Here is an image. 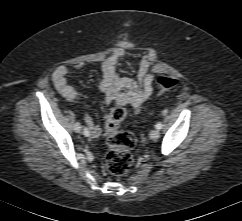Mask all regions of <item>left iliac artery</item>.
I'll use <instances>...</instances> for the list:
<instances>
[{
	"label": "left iliac artery",
	"instance_id": "1",
	"mask_svg": "<svg viewBox=\"0 0 242 221\" xmlns=\"http://www.w3.org/2000/svg\"><path fill=\"white\" fill-rule=\"evenodd\" d=\"M162 126H163V125H162V123H161V122H158V123L156 124V128H157V129H161V128H162Z\"/></svg>",
	"mask_w": 242,
	"mask_h": 221
}]
</instances>
